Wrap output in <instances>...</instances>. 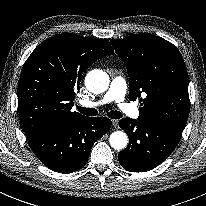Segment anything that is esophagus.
<instances>
[{
	"label": "esophagus",
	"mask_w": 206,
	"mask_h": 206,
	"mask_svg": "<svg viewBox=\"0 0 206 206\" xmlns=\"http://www.w3.org/2000/svg\"><path fill=\"white\" fill-rule=\"evenodd\" d=\"M112 125L117 128L118 127V120H112Z\"/></svg>",
	"instance_id": "1"
}]
</instances>
